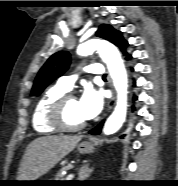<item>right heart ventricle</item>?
Returning <instances> with one entry per match:
<instances>
[{
  "instance_id": "right-heart-ventricle-1",
  "label": "right heart ventricle",
  "mask_w": 178,
  "mask_h": 186,
  "mask_svg": "<svg viewBox=\"0 0 178 186\" xmlns=\"http://www.w3.org/2000/svg\"><path fill=\"white\" fill-rule=\"evenodd\" d=\"M66 92L67 90L58 84L48 89L36 102L32 113V126L37 133L53 134L57 132V129L49 123L47 114L53 101Z\"/></svg>"
}]
</instances>
